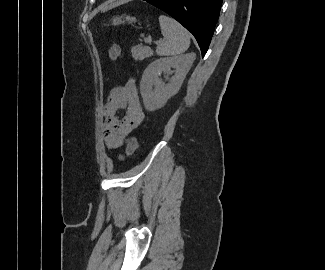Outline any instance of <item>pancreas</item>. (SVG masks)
<instances>
[{
    "mask_svg": "<svg viewBox=\"0 0 325 270\" xmlns=\"http://www.w3.org/2000/svg\"><path fill=\"white\" fill-rule=\"evenodd\" d=\"M131 52H132V57L135 60H140V61L153 55V50H151L150 47L141 46V45L133 47Z\"/></svg>",
    "mask_w": 325,
    "mask_h": 270,
    "instance_id": "pancreas-1",
    "label": "pancreas"
}]
</instances>
